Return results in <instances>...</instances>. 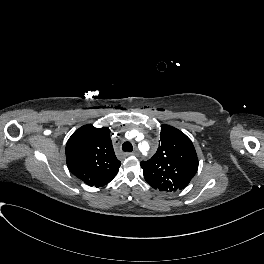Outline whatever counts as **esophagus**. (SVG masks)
I'll use <instances>...</instances> for the list:
<instances>
[{"label":"esophagus","instance_id":"1","mask_svg":"<svg viewBox=\"0 0 264 264\" xmlns=\"http://www.w3.org/2000/svg\"><path fill=\"white\" fill-rule=\"evenodd\" d=\"M131 155H136V152H129V153H126V156H131Z\"/></svg>","mask_w":264,"mask_h":264}]
</instances>
